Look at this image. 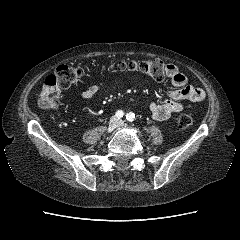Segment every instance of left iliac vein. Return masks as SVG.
Listing matches in <instances>:
<instances>
[{
    "mask_svg": "<svg viewBox=\"0 0 240 240\" xmlns=\"http://www.w3.org/2000/svg\"><path fill=\"white\" fill-rule=\"evenodd\" d=\"M119 127H124V123L122 121H119Z\"/></svg>",
    "mask_w": 240,
    "mask_h": 240,
    "instance_id": "4c4485c4",
    "label": "left iliac vein"
}]
</instances>
